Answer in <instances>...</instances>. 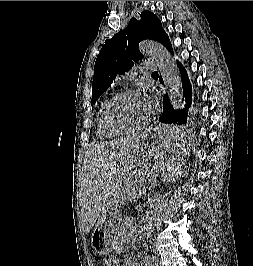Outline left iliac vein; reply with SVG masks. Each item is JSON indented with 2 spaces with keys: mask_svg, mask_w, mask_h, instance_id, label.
I'll return each instance as SVG.
<instances>
[{
  "mask_svg": "<svg viewBox=\"0 0 253 266\" xmlns=\"http://www.w3.org/2000/svg\"><path fill=\"white\" fill-rule=\"evenodd\" d=\"M157 266H162L160 262H158Z\"/></svg>",
  "mask_w": 253,
  "mask_h": 266,
  "instance_id": "obj_1",
  "label": "left iliac vein"
}]
</instances>
